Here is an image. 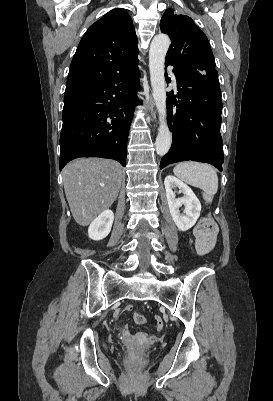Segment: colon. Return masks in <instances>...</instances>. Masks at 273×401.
<instances>
[{
    "label": "colon",
    "mask_w": 273,
    "mask_h": 401,
    "mask_svg": "<svg viewBox=\"0 0 273 401\" xmlns=\"http://www.w3.org/2000/svg\"><path fill=\"white\" fill-rule=\"evenodd\" d=\"M200 227L203 228L207 232H199L198 240L199 241H215L217 238L216 235V224L211 218L203 219L200 222ZM135 322L137 324H142L144 322L145 315L143 312H136L134 315Z\"/></svg>",
    "instance_id": "1"
}]
</instances>
